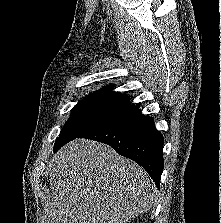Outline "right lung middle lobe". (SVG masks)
I'll return each instance as SVG.
<instances>
[{
	"label": "right lung middle lobe",
	"mask_w": 221,
	"mask_h": 223,
	"mask_svg": "<svg viewBox=\"0 0 221 223\" xmlns=\"http://www.w3.org/2000/svg\"><path fill=\"white\" fill-rule=\"evenodd\" d=\"M136 109L135 106L109 101L84 99L74 106L72 114L55 142L54 152L75 138L110 125Z\"/></svg>",
	"instance_id": "obj_1"
}]
</instances>
